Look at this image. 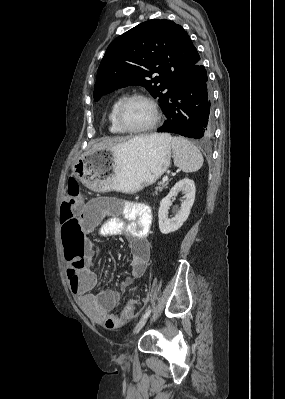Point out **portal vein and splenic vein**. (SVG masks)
I'll list each match as a JSON object with an SVG mask.
<instances>
[{"label": "portal vein and splenic vein", "instance_id": "obj_1", "mask_svg": "<svg viewBox=\"0 0 285 399\" xmlns=\"http://www.w3.org/2000/svg\"><path fill=\"white\" fill-rule=\"evenodd\" d=\"M167 181H168V176H164L162 182H167Z\"/></svg>", "mask_w": 285, "mask_h": 399}]
</instances>
